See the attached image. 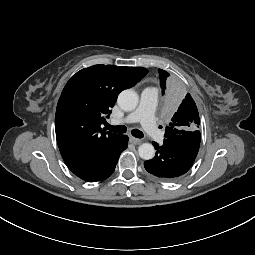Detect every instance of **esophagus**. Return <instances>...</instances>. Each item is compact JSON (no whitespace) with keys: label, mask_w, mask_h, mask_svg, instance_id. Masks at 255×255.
I'll list each match as a JSON object with an SVG mask.
<instances>
[{"label":"esophagus","mask_w":255,"mask_h":255,"mask_svg":"<svg viewBox=\"0 0 255 255\" xmlns=\"http://www.w3.org/2000/svg\"><path fill=\"white\" fill-rule=\"evenodd\" d=\"M129 140H130V142H131L132 144H135V145L140 144V143L142 142L141 139L135 138V137H133V136H131V137L129 138Z\"/></svg>","instance_id":"esophagus-1"}]
</instances>
